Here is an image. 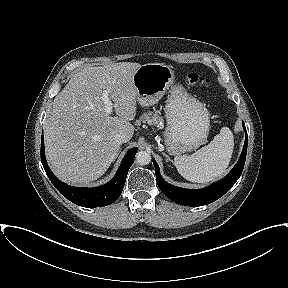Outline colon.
<instances>
[{"mask_svg":"<svg viewBox=\"0 0 288 288\" xmlns=\"http://www.w3.org/2000/svg\"><path fill=\"white\" fill-rule=\"evenodd\" d=\"M186 83L190 87H208L209 80L198 75L197 73H190L186 77Z\"/></svg>","mask_w":288,"mask_h":288,"instance_id":"5ec220e1","label":"colon"}]
</instances>
